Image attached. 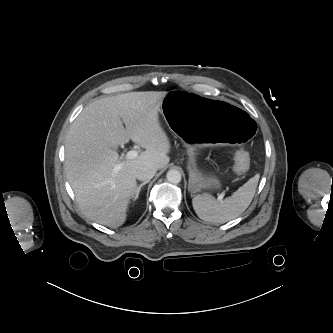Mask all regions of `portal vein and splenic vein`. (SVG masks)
I'll list each match as a JSON object with an SVG mask.
<instances>
[{"instance_id":"obj_1","label":"portal vein and splenic vein","mask_w":333,"mask_h":333,"mask_svg":"<svg viewBox=\"0 0 333 333\" xmlns=\"http://www.w3.org/2000/svg\"><path fill=\"white\" fill-rule=\"evenodd\" d=\"M137 157H138V151H137V150H131V151H128V152L126 153V155H125V158H126V159H135V158H137ZM119 168H120V166L116 167V169H119ZM223 197H224L223 194L219 195V196H218V200H219V201H222Z\"/></svg>"}]
</instances>
